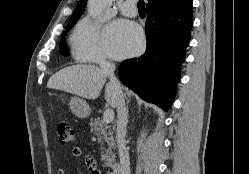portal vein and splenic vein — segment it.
I'll use <instances>...</instances> for the list:
<instances>
[{
  "label": "portal vein and splenic vein",
  "mask_w": 249,
  "mask_h": 174,
  "mask_svg": "<svg viewBox=\"0 0 249 174\" xmlns=\"http://www.w3.org/2000/svg\"><path fill=\"white\" fill-rule=\"evenodd\" d=\"M114 119V111L112 109H106L103 114V122L108 124L111 123Z\"/></svg>",
  "instance_id": "1"
}]
</instances>
